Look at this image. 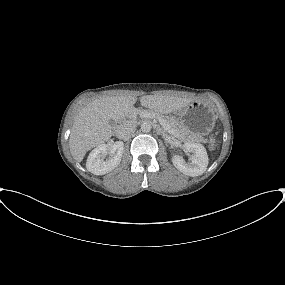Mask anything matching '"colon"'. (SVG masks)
Here are the masks:
<instances>
[{"label":"colon","instance_id":"1","mask_svg":"<svg viewBox=\"0 0 285 285\" xmlns=\"http://www.w3.org/2000/svg\"><path fill=\"white\" fill-rule=\"evenodd\" d=\"M211 145H212V146L214 145V139H213V137L211 138Z\"/></svg>","mask_w":285,"mask_h":285}]
</instances>
